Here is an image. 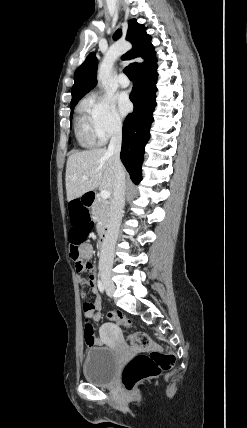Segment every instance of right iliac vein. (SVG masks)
I'll return each instance as SVG.
<instances>
[{
	"instance_id": "63e3f726",
	"label": "right iliac vein",
	"mask_w": 247,
	"mask_h": 428,
	"mask_svg": "<svg viewBox=\"0 0 247 428\" xmlns=\"http://www.w3.org/2000/svg\"><path fill=\"white\" fill-rule=\"evenodd\" d=\"M100 275L107 293L112 295L114 293L115 286L111 280L110 273L108 271L102 270Z\"/></svg>"
}]
</instances>
